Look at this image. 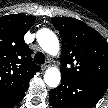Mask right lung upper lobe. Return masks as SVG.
Returning <instances> with one entry per match:
<instances>
[{
  "mask_svg": "<svg viewBox=\"0 0 108 108\" xmlns=\"http://www.w3.org/2000/svg\"><path fill=\"white\" fill-rule=\"evenodd\" d=\"M35 20V17L24 14L0 18V100L18 95L39 71L24 42V35Z\"/></svg>",
  "mask_w": 108,
  "mask_h": 108,
  "instance_id": "cb5924a9",
  "label": "right lung upper lobe"
}]
</instances>
